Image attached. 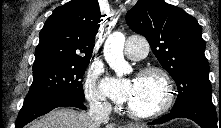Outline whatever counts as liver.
Segmentation results:
<instances>
[{"instance_id":"1","label":"liver","mask_w":221,"mask_h":128,"mask_svg":"<svg viewBox=\"0 0 221 128\" xmlns=\"http://www.w3.org/2000/svg\"><path fill=\"white\" fill-rule=\"evenodd\" d=\"M27 128H100V123H95L88 113L59 108L34 121ZM106 128H114V125L107 124ZM128 128H147V126L130 125Z\"/></svg>"}]
</instances>
